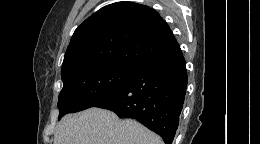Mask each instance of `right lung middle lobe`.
<instances>
[{
	"instance_id": "right-lung-middle-lobe-1",
	"label": "right lung middle lobe",
	"mask_w": 260,
	"mask_h": 144,
	"mask_svg": "<svg viewBox=\"0 0 260 144\" xmlns=\"http://www.w3.org/2000/svg\"><path fill=\"white\" fill-rule=\"evenodd\" d=\"M133 70L119 65L102 64L62 75L63 89L58 98V119L67 113L96 106L116 92Z\"/></svg>"
}]
</instances>
